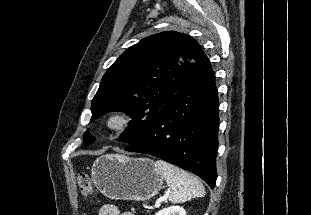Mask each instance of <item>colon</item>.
I'll return each mask as SVG.
<instances>
[{"mask_svg": "<svg viewBox=\"0 0 311 215\" xmlns=\"http://www.w3.org/2000/svg\"><path fill=\"white\" fill-rule=\"evenodd\" d=\"M78 185H79L80 191L84 195H90L94 191L90 177L86 173H80L78 175Z\"/></svg>", "mask_w": 311, "mask_h": 215, "instance_id": "5ec220e1", "label": "colon"}]
</instances>
